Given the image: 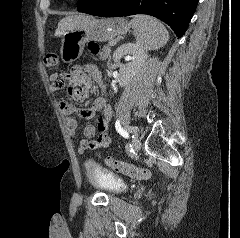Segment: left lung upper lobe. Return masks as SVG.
Wrapping results in <instances>:
<instances>
[{"mask_svg":"<svg viewBox=\"0 0 240 238\" xmlns=\"http://www.w3.org/2000/svg\"><path fill=\"white\" fill-rule=\"evenodd\" d=\"M98 0H79L78 10L83 11L91 6H93Z\"/></svg>","mask_w":240,"mask_h":238,"instance_id":"left-lung-upper-lobe-1","label":"left lung upper lobe"}]
</instances>
